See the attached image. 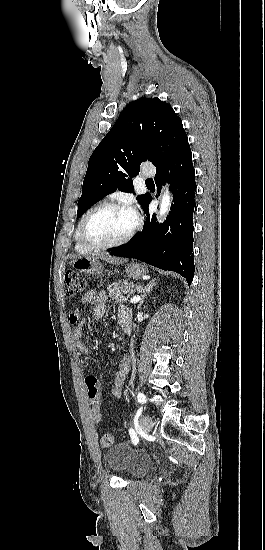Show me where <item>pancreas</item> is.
Returning <instances> with one entry per match:
<instances>
[{
    "instance_id": "pancreas-1",
    "label": "pancreas",
    "mask_w": 265,
    "mask_h": 550,
    "mask_svg": "<svg viewBox=\"0 0 265 550\" xmlns=\"http://www.w3.org/2000/svg\"><path fill=\"white\" fill-rule=\"evenodd\" d=\"M140 289V285L133 284L132 282H128L126 280L116 281L108 287L109 295L113 297V299L117 303H123L127 301L130 295H134L135 292L139 291Z\"/></svg>"
}]
</instances>
